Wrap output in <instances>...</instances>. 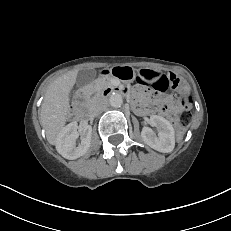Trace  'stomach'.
Instances as JSON below:
<instances>
[{"label": "stomach", "mask_w": 231, "mask_h": 231, "mask_svg": "<svg viewBox=\"0 0 231 231\" xmlns=\"http://www.w3.org/2000/svg\"><path fill=\"white\" fill-rule=\"evenodd\" d=\"M144 70L141 71V74L144 75ZM113 73L120 77L121 79L132 80L136 76V70L130 66H116L113 68Z\"/></svg>", "instance_id": "stomach-1"}]
</instances>
